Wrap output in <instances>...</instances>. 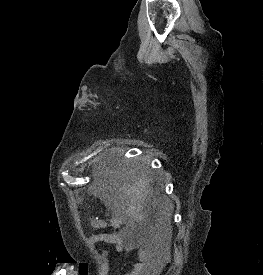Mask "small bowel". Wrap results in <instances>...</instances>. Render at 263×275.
I'll use <instances>...</instances> for the list:
<instances>
[{
  "label": "small bowel",
  "mask_w": 263,
  "mask_h": 275,
  "mask_svg": "<svg viewBox=\"0 0 263 275\" xmlns=\"http://www.w3.org/2000/svg\"><path fill=\"white\" fill-rule=\"evenodd\" d=\"M91 226L93 228H103L106 226V222L95 219L91 221ZM98 242L115 243L119 250H137V261L133 269L125 275H155L158 271V267L150 261L147 250L140 245H136L132 237L127 234L98 233L90 237V244L92 247Z\"/></svg>",
  "instance_id": "1"
}]
</instances>
